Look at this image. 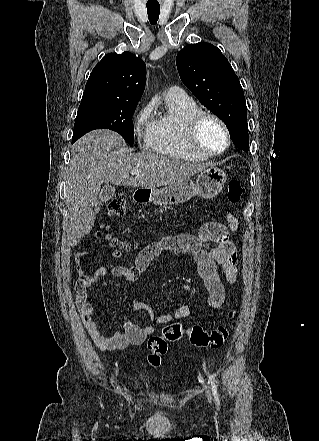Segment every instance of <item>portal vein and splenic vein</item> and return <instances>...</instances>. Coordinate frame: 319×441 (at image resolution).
Here are the masks:
<instances>
[{
  "instance_id": "1",
  "label": "portal vein and splenic vein",
  "mask_w": 319,
  "mask_h": 441,
  "mask_svg": "<svg viewBox=\"0 0 319 441\" xmlns=\"http://www.w3.org/2000/svg\"><path fill=\"white\" fill-rule=\"evenodd\" d=\"M140 172H141L140 169H134V170L131 171V174L138 175V174H140Z\"/></svg>"
}]
</instances>
